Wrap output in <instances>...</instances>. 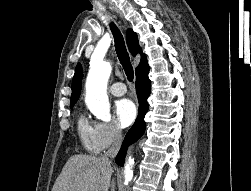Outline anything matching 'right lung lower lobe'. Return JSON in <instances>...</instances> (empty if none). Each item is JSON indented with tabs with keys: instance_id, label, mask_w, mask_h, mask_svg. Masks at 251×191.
Segmentation results:
<instances>
[{
	"instance_id": "obj_1",
	"label": "right lung lower lobe",
	"mask_w": 251,
	"mask_h": 191,
	"mask_svg": "<svg viewBox=\"0 0 251 191\" xmlns=\"http://www.w3.org/2000/svg\"><path fill=\"white\" fill-rule=\"evenodd\" d=\"M136 92L139 102L138 117L131 129L128 131L123 141L122 147L115 158V162L119 166H123L124 164L128 146L138 140L144 134L146 128L144 116L149 109L147 98L151 92V81L148 78V75L136 79Z\"/></svg>"
}]
</instances>
